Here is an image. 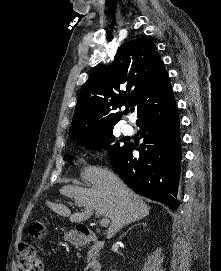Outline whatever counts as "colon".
<instances>
[{"mask_svg": "<svg viewBox=\"0 0 221 271\" xmlns=\"http://www.w3.org/2000/svg\"><path fill=\"white\" fill-rule=\"evenodd\" d=\"M47 233L43 220L36 221L30 227V234L35 238H43ZM19 271H43V264L36 247L29 242H21L18 246Z\"/></svg>", "mask_w": 221, "mask_h": 271, "instance_id": "1", "label": "colon"}]
</instances>
